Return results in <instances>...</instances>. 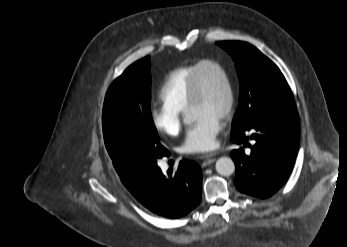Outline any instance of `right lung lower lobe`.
Returning <instances> with one entry per match:
<instances>
[{
	"label": "right lung lower lobe",
	"instance_id": "98d812e1",
	"mask_svg": "<svg viewBox=\"0 0 347 247\" xmlns=\"http://www.w3.org/2000/svg\"><path fill=\"white\" fill-rule=\"evenodd\" d=\"M118 174L131 194L160 216L183 217L200 203L202 172L193 161L182 160L175 172L171 168L164 174L157 159L142 160Z\"/></svg>",
	"mask_w": 347,
	"mask_h": 247
}]
</instances>
